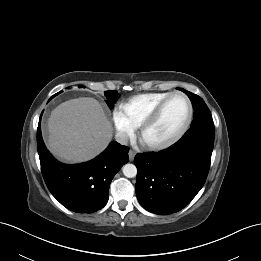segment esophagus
<instances>
[{"label":"esophagus","mask_w":261,"mask_h":261,"mask_svg":"<svg viewBox=\"0 0 261 261\" xmlns=\"http://www.w3.org/2000/svg\"><path fill=\"white\" fill-rule=\"evenodd\" d=\"M135 154H136L135 151H133V150H130V151H129L128 155H129V159H130L131 161L134 159Z\"/></svg>","instance_id":"esophagus-1"}]
</instances>
